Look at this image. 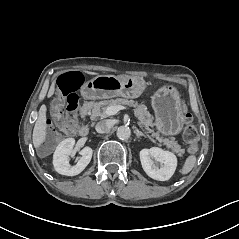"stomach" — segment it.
<instances>
[{
    "instance_id": "obj_1",
    "label": "stomach",
    "mask_w": 239,
    "mask_h": 239,
    "mask_svg": "<svg viewBox=\"0 0 239 239\" xmlns=\"http://www.w3.org/2000/svg\"><path fill=\"white\" fill-rule=\"evenodd\" d=\"M147 87L144 78L127 74L99 75L86 81L80 88L83 98L89 100L113 97L137 98ZM154 111V127L162 136H177L185 126L186 118L179 89L172 84H164L150 97Z\"/></svg>"
}]
</instances>
